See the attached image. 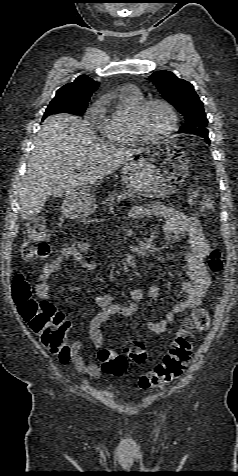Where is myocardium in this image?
<instances>
[{
  "label": "myocardium",
  "mask_w": 238,
  "mask_h": 476,
  "mask_svg": "<svg viewBox=\"0 0 238 476\" xmlns=\"http://www.w3.org/2000/svg\"><path fill=\"white\" fill-rule=\"evenodd\" d=\"M152 104H161L163 105L170 114V125L169 127L160 135H150L148 134L142 126V117L146 109ZM178 125V116L173 105L163 98H148L143 100L135 109L131 117V128L139 141L143 142H153L161 141L169 137L177 128Z\"/></svg>",
  "instance_id": "obj_1"
}]
</instances>
